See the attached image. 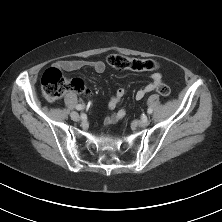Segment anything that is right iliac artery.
<instances>
[{
    "label": "right iliac artery",
    "mask_w": 222,
    "mask_h": 222,
    "mask_svg": "<svg viewBox=\"0 0 222 222\" xmlns=\"http://www.w3.org/2000/svg\"><path fill=\"white\" fill-rule=\"evenodd\" d=\"M76 109H77V110H82V109H83V105L78 104V105L76 106Z\"/></svg>",
    "instance_id": "right-iliac-artery-1"
}]
</instances>
